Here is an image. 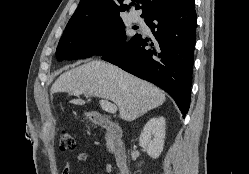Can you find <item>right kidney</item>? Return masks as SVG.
<instances>
[{
    "instance_id": "ca27d5eb",
    "label": "right kidney",
    "mask_w": 249,
    "mask_h": 174,
    "mask_svg": "<svg viewBox=\"0 0 249 174\" xmlns=\"http://www.w3.org/2000/svg\"><path fill=\"white\" fill-rule=\"evenodd\" d=\"M165 125L164 117H154L146 123L139 137V145L153 159L158 158L163 151Z\"/></svg>"
}]
</instances>
